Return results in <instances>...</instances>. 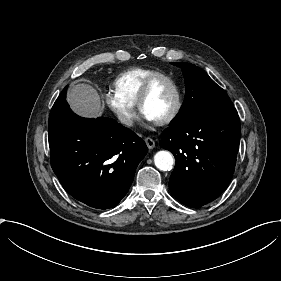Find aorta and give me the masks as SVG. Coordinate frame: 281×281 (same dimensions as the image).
Listing matches in <instances>:
<instances>
[{"label":"aorta","instance_id":"1","mask_svg":"<svg viewBox=\"0 0 281 281\" xmlns=\"http://www.w3.org/2000/svg\"><path fill=\"white\" fill-rule=\"evenodd\" d=\"M155 166L161 171L170 170L174 164L173 155L166 150L158 151L154 156Z\"/></svg>","mask_w":281,"mask_h":281}]
</instances>
